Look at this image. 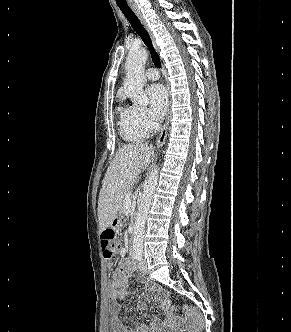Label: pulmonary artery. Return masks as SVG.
Here are the masks:
<instances>
[{
  "instance_id": "e3ab8cb5",
  "label": "pulmonary artery",
  "mask_w": 291,
  "mask_h": 332,
  "mask_svg": "<svg viewBox=\"0 0 291 332\" xmlns=\"http://www.w3.org/2000/svg\"><path fill=\"white\" fill-rule=\"evenodd\" d=\"M145 77L148 80L156 81L159 79L160 75H159V72L155 68H148L145 72Z\"/></svg>"
}]
</instances>
